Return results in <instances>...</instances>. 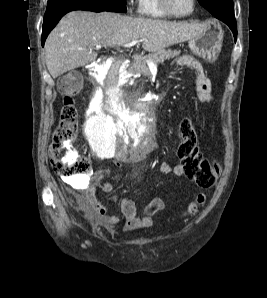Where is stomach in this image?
<instances>
[{
	"instance_id": "0dacf381",
	"label": "stomach",
	"mask_w": 267,
	"mask_h": 298,
	"mask_svg": "<svg viewBox=\"0 0 267 298\" xmlns=\"http://www.w3.org/2000/svg\"><path fill=\"white\" fill-rule=\"evenodd\" d=\"M223 31L215 23L207 25L206 29L197 37L189 40L191 51L210 62H214L222 48Z\"/></svg>"
}]
</instances>
